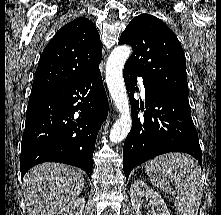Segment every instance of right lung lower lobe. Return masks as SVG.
Here are the masks:
<instances>
[{
  "label": "right lung lower lobe",
  "instance_id": "obj_1",
  "mask_svg": "<svg viewBox=\"0 0 221 215\" xmlns=\"http://www.w3.org/2000/svg\"><path fill=\"white\" fill-rule=\"evenodd\" d=\"M108 100L99 66L49 92L31 95L21 142V177L43 162L83 169L91 178L92 156Z\"/></svg>",
  "mask_w": 221,
  "mask_h": 215
}]
</instances>
